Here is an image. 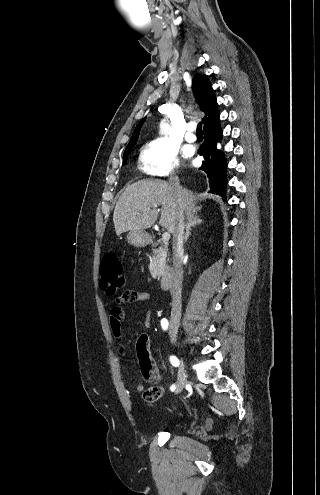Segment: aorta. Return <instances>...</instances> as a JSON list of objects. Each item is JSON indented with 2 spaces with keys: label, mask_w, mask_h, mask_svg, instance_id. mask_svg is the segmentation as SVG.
I'll list each match as a JSON object with an SVG mask.
<instances>
[{
  "label": "aorta",
  "mask_w": 320,
  "mask_h": 495,
  "mask_svg": "<svg viewBox=\"0 0 320 495\" xmlns=\"http://www.w3.org/2000/svg\"><path fill=\"white\" fill-rule=\"evenodd\" d=\"M160 129H161V132L164 133V132H167L168 131V124L166 123V120H163L160 124Z\"/></svg>",
  "instance_id": "aorta-1"
}]
</instances>
